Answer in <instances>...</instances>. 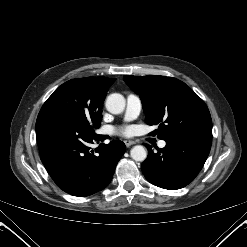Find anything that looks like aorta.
<instances>
[{
    "instance_id": "aorta-1",
    "label": "aorta",
    "mask_w": 247,
    "mask_h": 247,
    "mask_svg": "<svg viewBox=\"0 0 247 247\" xmlns=\"http://www.w3.org/2000/svg\"><path fill=\"white\" fill-rule=\"evenodd\" d=\"M125 98L119 93L110 94L106 99V109L112 114H120L125 109ZM130 155L135 161H144L147 158V151L141 145L134 146Z\"/></svg>"
}]
</instances>
